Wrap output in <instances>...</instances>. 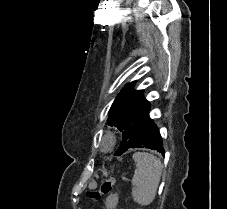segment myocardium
Returning <instances> with one entry per match:
<instances>
[{
	"label": "myocardium",
	"instance_id": "1",
	"mask_svg": "<svg viewBox=\"0 0 227 209\" xmlns=\"http://www.w3.org/2000/svg\"><path fill=\"white\" fill-rule=\"evenodd\" d=\"M118 143V134L114 129H106L99 133L95 139V146L102 153L111 152Z\"/></svg>",
	"mask_w": 227,
	"mask_h": 209
}]
</instances>
